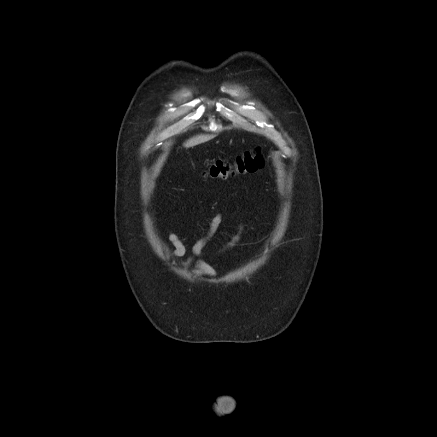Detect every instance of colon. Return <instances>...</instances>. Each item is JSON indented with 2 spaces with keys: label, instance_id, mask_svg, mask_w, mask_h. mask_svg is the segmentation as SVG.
Segmentation results:
<instances>
[{
  "label": "colon",
  "instance_id": "1",
  "mask_svg": "<svg viewBox=\"0 0 437 437\" xmlns=\"http://www.w3.org/2000/svg\"><path fill=\"white\" fill-rule=\"evenodd\" d=\"M264 165V159L258 150L246 152L232 162L215 161L209 164L205 175L225 179L236 174L255 172Z\"/></svg>",
  "mask_w": 437,
  "mask_h": 437
}]
</instances>
